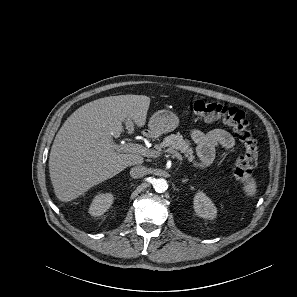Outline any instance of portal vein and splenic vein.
Here are the masks:
<instances>
[{
    "label": "portal vein and splenic vein",
    "mask_w": 297,
    "mask_h": 297,
    "mask_svg": "<svg viewBox=\"0 0 297 297\" xmlns=\"http://www.w3.org/2000/svg\"><path fill=\"white\" fill-rule=\"evenodd\" d=\"M115 149L118 152H129L133 154H141L147 157H157V154L154 151H151L146 147L135 143L115 145ZM170 156L171 158H177L179 160H182V156L179 153H172V155Z\"/></svg>",
    "instance_id": "1"
}]
</instances>
